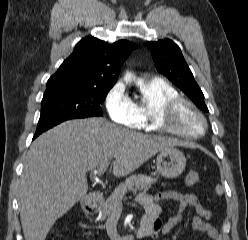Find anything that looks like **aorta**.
I'll use <instances>...</instances> for the list:
<instances>
[{
    "mask_svg": "<svg viewBox=\"0 0 248 240\" xmlns=\"http://www.w3.org/2000/svg\"><path fill=\"white\" fill-rule=\"evenodd\" d=\"M131 78V73L127 72L125 75V80L128 81Z\"/></svg>",
    "mask_w": 248,
    "mask_h": 240,
    "instance_id": "1",
    "label": "aorta"
}]
</instances>
